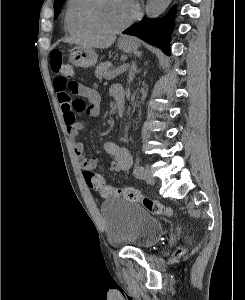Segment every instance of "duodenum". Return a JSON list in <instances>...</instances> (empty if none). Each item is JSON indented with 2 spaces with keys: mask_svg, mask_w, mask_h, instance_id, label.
Masks as SVG:
<instances>
[{
  "mask_svg": "<svg viewBox=\"0 0 245 300\" xmlns=\"http://www.w3.org/2000/svg\"><path fill=\"white\" fill-rule=\"evenodd\" d=\"M114 98L116 102V107H117V113L120 117L124 115L125 111V99L124 95L122 92L118 91L114 93Z\"/></svg>",
  "mask_w": 245,
  "mask_h": 300,
  "instance_id": "1",
  "label": "duodenum"
}]
</instances>
